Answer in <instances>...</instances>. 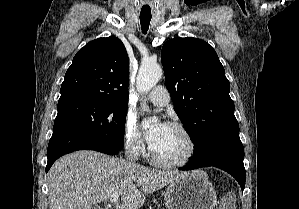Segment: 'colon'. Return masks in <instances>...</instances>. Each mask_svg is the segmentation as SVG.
<instances>
[{
	"mask_svg": "<svg viewBox=\"0 0 299 209\" xmlns=\"http://www.w3.org/2000/svg\"><path fill=\"white\" fill-rule=\"evenodd\" d=\"M218 209H235L234 197L227 194L220 202Z\"/></svg>",
	"mask_w": 299,
	"mask_h": 209,
	"instance_id": "1",
	"label": "colon"
}]
</instances>
